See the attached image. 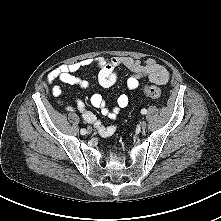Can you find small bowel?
Returning a JSON list of instances; mask_svg holds the SVG:
<instances>
[{
    "label": "small bowel",
    "mask_w": 221,
    "mask_h": 221,
    "mask_svg": "<svg viewBox=\"0 0 221 221\" xmlns=\"http://www.w3.org/2000/svg\"><path fill=\"white\" fill-rule=\"evenodd\" d=\"M123 66L131 72V76L126 81L127 89L134 91L139 86L141 78H147L149 81L162 85L166 84L170 79L168 69L159 64L155 59L148 58L144 62L134 59L130 56H119L106 59L104 57L87 58L76 61L70 64H63L52 70L47 76V82L52 85V94L60 101L62 95V87L57 81L70 85H79L82 88H88L89 82L85 79L79 78L75 75L79 70L87 67H94L98 70V81L102 87L108 88L112 86L117 80V69ZM90 103L93 107L99 109L102 115L111 120H115L119 112L127 107L129 98L126 94H121L116 100V105L110 109L103 97L99 93H94L90 97ZM68 111H78L83 120L88 124L94 126L97 132L103 137H109L116 131L114 124L105 126L97 119V117L88 109H86L84 102L77 99L73 106H64Z\"/></svg>",
    "instance_id": "obj_1"
}]
</instances>
